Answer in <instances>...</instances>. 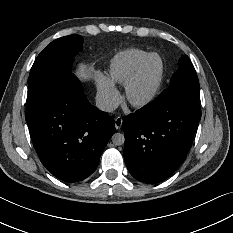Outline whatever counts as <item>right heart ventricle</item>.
Listing matches in <instances>:
<instances>
[{
  "instance_id": "1",
  "label": "right heart ventricle",
  "mask_w": 233,
  "mask_h": 233,
  "mask_svg": "<svg viewBox=\"0 0 233 233\" xmlns=\"http://www.w3.org/2000/svg\"><path fill=\"white\" fill-rule=\"evenodd\" d=\"M150 53V51L138 48L116 53L108 63V79L113 84L124 85Z\"/></svg>"
}]
</instances>
